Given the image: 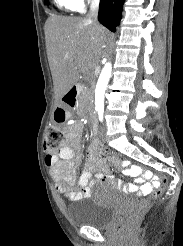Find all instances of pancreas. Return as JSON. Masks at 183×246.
I'll return each mask as SVG.
<instances>
[{"label": "pancreas", "instance_id": "pancreas-1", "mask_svg": "<svg viewBox=\"0 0 183 246\" xmlns=\"http://www.w3.org/2000/svg\"><path fill=\"white\" fill-rule=\"evenodd\" d=\"M87 96H88V93L86 90H84L80 97V104H79L80 107H83L85 105V99L87 98Z\"/></svg>", "mask_w": 183, "mask_h": 246}]
</instances>
